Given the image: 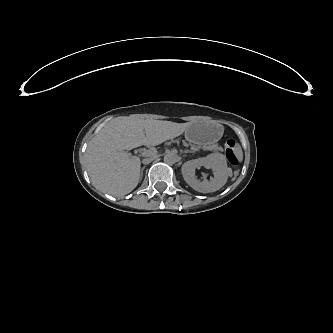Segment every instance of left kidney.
I'll use <instances>...</instances> for the list:
<instances>
[{
    "label": "left kidney",
    "instance_id": "left-kidney-1",
    "mask_svg": "<svg viewBox=\"0 0 333 333\" xmlns=\"http://www.w3.org/2000/svg\"><path fill=\"white\" fill-rule=\"evenodd\" d=\"M211 169L213 177L210 180H199L196 169L200 167ZM182 175L186 183L194 190L201 193H211L223 187L228 179L231 169L221 153H211L205 157L192 159L182 165Z\"/></svg>",
    "mask_w": 333,
    "mask_h": 333
}]
</instances>
